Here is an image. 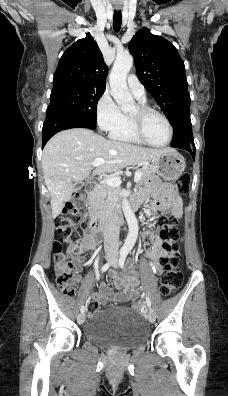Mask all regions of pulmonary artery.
Masks as SVG:
<instances>
[{
	"label": "pulmonary artery",
	"instance_id": "obj_1",
	"mask_svg": "<svg viewBox=\"0 0 228 396\" xmlns=\"http://www.w3.org/2000/svg\"><path fill=\"white\" fill-rule=\"evenodd\" d=\"M127 84L130 91L136 98L145 99V95H146L145 88L136 75L130 74L127 77Z\"/></svg>",
	"mask_w": 228,
	"mask_h": 396
}]
</instances>
